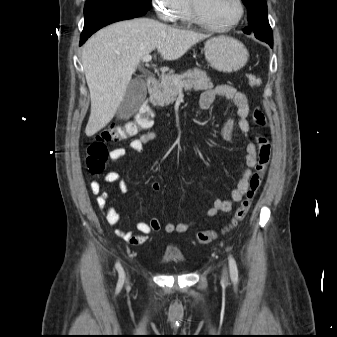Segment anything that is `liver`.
Segmentation results:
<instances>
[{
    "instance_id": "obj_1",
    "label": "liver",
    "mask_w": 337,
    "mask_h": 337,
    "mask_svg": "<svg viewBox=\"0 0 337 337\" xmlns=\"http://www.w3.org/2000/svg\"><path fill=\"white\" fill-rule=\"evenodd\" d=\"M205 37L148 18L117 22L93 35L82 50L91 98L86 135L112 120L143 56L157 49L164 60H177Z\"/></svg>"
}]
</instances>
